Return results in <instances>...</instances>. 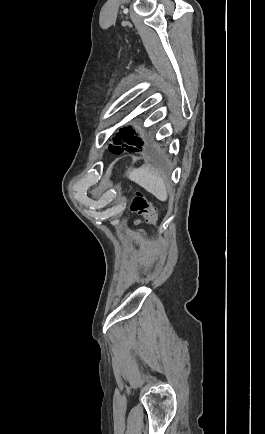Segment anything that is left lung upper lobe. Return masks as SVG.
I'll list each match as a JSON object with an SVG mask.
<instances>
[{"label":"left lung upper lobe","instance_id":"1","mask_svg":"<svg viewBox=\"0 0 265 434\" xmlns=\"http://www.w3.org/2000/svg\"><path fill=\"white\" fill-rule=\"evenodd\" d=\"M121 133H118L117 136L115 138H113V142L115 145H110L109 148L112 149H119L122 148L123 146L126 145V143L132 139L134 136H132V134H134L133 129L131 128H124L120 130Z\"/></svg>","mask_w":265,"mask_h":434}]
</instances>
